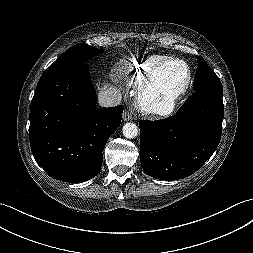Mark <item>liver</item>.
<instances>
[{
  "label": "liver",
  "mask_w": 253,
  "mask_h": 253,
  "mask_svg": "<svg viewBox=\"0 0 253 253\" xmlns=\"http://www.w3.org/2000/svg\"><path fill=\"white\" fill-rule=\"evenodd\" d=\"M108 88H114L113 86L107 87L106 85L103 87L102 91Z\"/></svg>",
  "instance_id": "liver-1"
}]
</instances>
